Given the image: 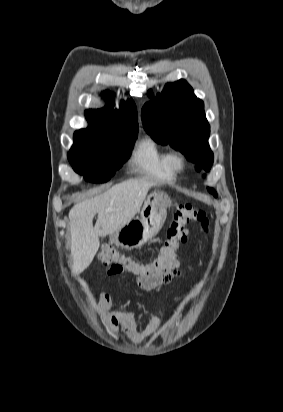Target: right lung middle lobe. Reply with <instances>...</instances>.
Wrapping results in <instances>:
<instances>
[{"instance_id": "obj_1", "label": "right lung middle lobe", "mask_w": 283, "mask_h": 412, "mask_svg": "<svg viewBox=\"0 0 283 412\" xmlns=\"http://www.w3.org/2000/svg\"><path fill=\"white\" fill-rule=\"evenodd\" d=\"M137 133L118 137H96L74 134V145L68 153L73 169L90 182H106L129 158Z\"/></svg>"}]
</instances>
